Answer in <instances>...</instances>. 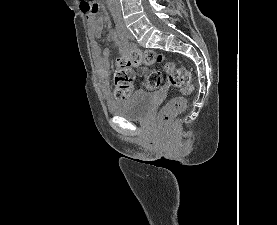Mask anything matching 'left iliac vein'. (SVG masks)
<instances>
[{
    "label": "left iliac vein",
    "mask_w": 277,
    "mask_h": 225,
    "mask_svg": "<svg viewBox=\"0 0 277 225\" xmlns=\"http://www.w3.org/2000/svg\"><path fill=\"white\" fill-rule=\"evenodd\" d=\"M123 31L126 34L128 39H131V40L134 39L133 34L124 25H123Z\"/></svg>",
    "instance_id": "1"
}]
</instances>
